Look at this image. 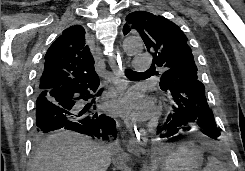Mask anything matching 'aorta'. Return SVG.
Returning <instances> with one entry per match:
<instances>
[{"mask_svg":"<svg viewBox=\"0 0 245 171\" xmlns=\"http://www.w3.org/2000/svg\"><path fill=\"white\" fill-rule=\"evenodd\" d=\"M143 48V42L138 37H128L123 41V49L128 55L139 53ZM141 171H148L147 164H144Z\"/></svg>","mask_w":245,"mask_h":171,"instance_id":"1","label":"aorta"}]
</instances>
